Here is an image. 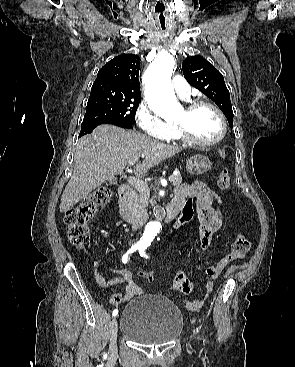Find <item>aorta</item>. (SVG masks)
<instances>
[{"label": "aorta", "mask_w": 295, "mask_h": 367, "mask_svg": "<svg viewBox=\"0 0 295 367\" xmlns=\"http://www.w3.org/2000/svg\"><path fill=\"white\" fill-rule=\"evenodd\" d=\"M175 65L174 57L168 53L160 54L145 72V93L150 109L162 118H170L180 112L171 86V76ZM158 220L149 222L143 233L142 240L150 243L160 232Z\"/></svg>", "instance_id": "aorta-1"}]
</instances>
